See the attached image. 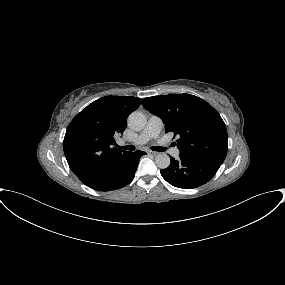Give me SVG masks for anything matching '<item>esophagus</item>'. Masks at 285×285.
Returning a JSON list of instances; mask_svg holds the SVG:
<instances>
[{
	"instance_id": "obj_1",
	"label": "esophagus",
	"mask_w": 285,
	"mask_h": 285,
	"mask_svg": "<svg viewBox=\"0 0 285 285\" xmlns=\"http://www.w3.org/2000/svg\"><path fill=\"white\" fill-rule=\"evenodd\" d=\"M147 153L148 155H151V156H156L158 154L157 152H154V151H148Z\"/></svg>"
}]
</instances>
